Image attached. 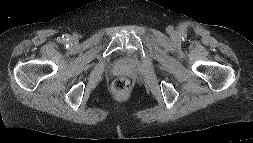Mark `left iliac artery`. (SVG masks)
I'll use <instances>...</instances> for the list:
<instances>
[{"mask_svg":"<svg viewBox=\"0 0 253 143\" xmlns=\"http://www.w3.org/2000/svg\"><path fill=\"white\" fill-rule=\"evenodd\" d=\"M186 37H187L186 32H182V34H181V38H182L183 40H185V39H186Z\"/></svg>","mask_w":253,"mask_h":143,"instance_id":"1","label":"left iliac artery"}]
</instances>
